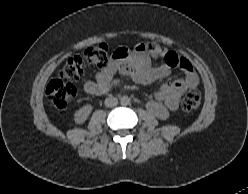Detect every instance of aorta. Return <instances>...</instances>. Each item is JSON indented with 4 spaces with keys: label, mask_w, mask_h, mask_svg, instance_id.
Returning <instances> with one entry per match:
<instances>
[{
    "label": "aorta",
    "mask_w": 248,
    "mask_h": 194,
    "mask_svg": "<svg viewBox=\"0 0 248 194\" xmlns=\"http://www.w3.org/2000/svg\"><path fill=\"white\" fill-rule=\"evenodd\" d=\"M120 103H121V105H123V106H127V105L130 104V98H129L128 96H122V97L120 98Z\"/></svg>",
    "instance_id": "obj_1"
}]
</instances>
